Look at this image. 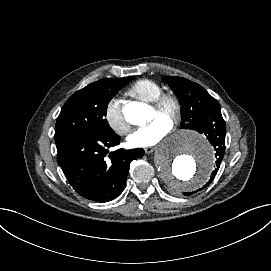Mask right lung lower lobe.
<instances>
[{
    "label": "right lung lower lobe",
    "instance_id": "1",
    "mask_svg": "<svg viewBox=\"0 0 271 271\" xmlns=\"http://www.w3.org/2000/svg\"><path fill=\"white\" fill-rule=\"evenodd\" d=\"M120 138L108 135L75 134L56 142L57 162L74 190L95 202L117 198L125 188L132 160L144 155L143 149H119L106 156L107 148Z\"/></svg>",
    "mask_w": 271,
    "mask_h": 271
}]
</instances>
